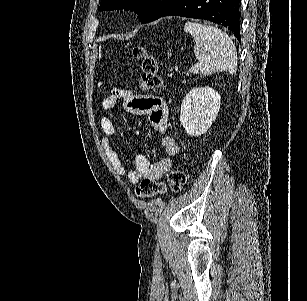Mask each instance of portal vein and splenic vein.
Returning <instances> with one entry per match:
<instances>
[{"instance_id":"portal-vein-and-splenic-vein-1","label":"portal vein and splenic vein","mask_w":307,"mask_h":301,"mask_svg":"<svg viewBox=\"0 0 307 301\" xmlns=\"http://www.w3.org/2000/svg\"><path fill=\"white\" fill-rule=\"evenodd\" d=\"M195 68H198L199 64H194Z\"/></svg>"}]
</instances>
